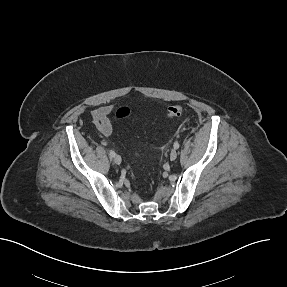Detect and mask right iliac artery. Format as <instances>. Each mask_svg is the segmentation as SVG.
<instances>
[{"instance_id": "obj_1", "label": "right iliac artery", "mask_w": 287, "mask_h": 287, "mask_svg": "<svg viewBox=\"0 0 287 287\" xmlns=\"http://www.w3.org/2000/svg\"><path fill=\"white\" fill-rule=\"evenodd\" d=\"M115 155H116V154H115L114 151L111 150V151L109 152V156H110L111 158L115 157Z\"/></svg>"}]
</instances>
